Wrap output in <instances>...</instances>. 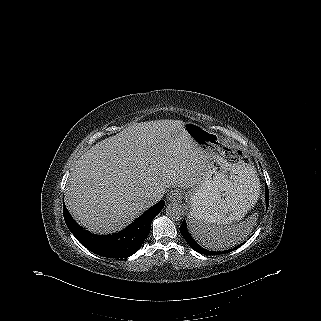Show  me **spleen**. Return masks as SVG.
Masks as SVG:
<instances>
[{"label":"spleen","mask_w":321,"mask_h":321,"mask_svg":"<svg viewBox=\"0 0 321 321\" xmlns=\"http://www.w3.org/2000/svg\"><path fill=\"white\" fill-rule=\"evenodd\" d=\"M257 215L252 214L239 224H216L194 221L189 227L191 235L209 250H225L243 241L253 230Z\"/></svg>","instance_id":"obj_1"}]
</instances>
